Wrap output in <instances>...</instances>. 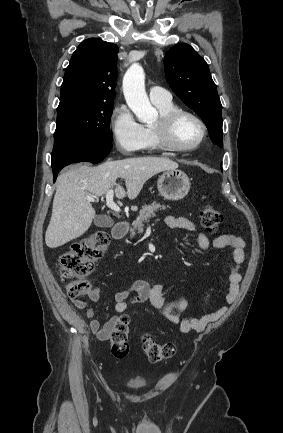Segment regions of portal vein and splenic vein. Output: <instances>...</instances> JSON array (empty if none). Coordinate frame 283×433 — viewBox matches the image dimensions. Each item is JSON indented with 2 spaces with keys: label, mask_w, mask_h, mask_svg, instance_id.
Segmentation results:
<instances>
[{
  "label": "portal vein and splenic vein",
  "mask_w": 283,
  "mask_h": 433,
  "mask_svg": "<svg viewBox=\"0 0 283 433\" xmlns=\"http://www.w3.org/2000/svg\"><path fill=\"white\" fill-rule=\"evenodd\" d=\"M113 196H114V190H108L107 194H106V204L107 206H109V208H112V210H116V212H120L121 208L120 206H118V204H116V202H114L113 200ZM87 200H90V202H95V198H93V196H86Z\"/></svg>",
  "instance_id": "1"
}]
</instances>
